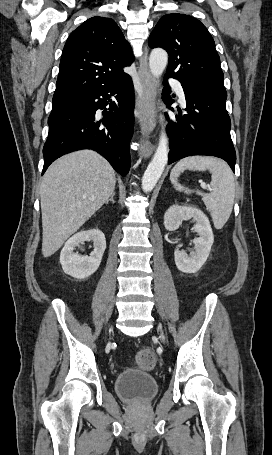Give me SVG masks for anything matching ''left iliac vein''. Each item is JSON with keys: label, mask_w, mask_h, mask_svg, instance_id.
Instances as JSON below:
<instances>
[{"label": "left iliac vein", "mask_w": 272, "mask_h": 455, "mask_svg": "<svg viewBox=\"0 0 272 455\" xmlns=\"http://www.w3.org/2000/svg\"><path fill=\"white\" fill-rule=\"evenodd\" d=\"M158 331H159L160 339L162 340V342H165V336H164L163 332L161 330H158Z\"/></svg>", "instance_id": "left-iliac-vein-1"}]
</instances>
